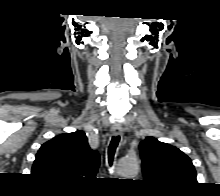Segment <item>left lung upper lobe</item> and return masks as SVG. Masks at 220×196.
Wrapping results in <instances>:
<instances>
[{"mask_svg": "<svg viewBox=\"0 0 220 196\" xmlns=\"http://www.w3.org/2000/svg\"><path fill=\"white\" fill-rule=\"evenodd\" d=\"M139 149L144 181L159 192L181 193L196 185L194 165L178 148L149 136Z\"/></svg>", "mask_w": 220, "mask_h": 196, "instance_id": "5c2ea615", "label": "left lung upper lobe"}]
</instances>
